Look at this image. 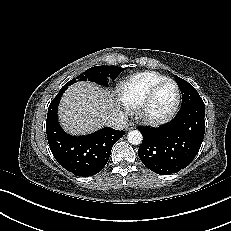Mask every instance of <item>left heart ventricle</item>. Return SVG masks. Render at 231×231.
<instances>
[{
    "label": "left heart ventricle",
    "instance_id": "obj_1",
    "mask_svg": "<svg viewBox=\"0 0 231 231\" xmlns=\"http://www.w3.org/2000/svg\"><path fill=\"white\" fill-rule=\"evenodd\" d=\"M175 99V88L172 84L162 85L154 94L148 105V112L151 115L165 113L173 104Z\"/></svg>",
    "mask_w": 231,
    "mask_h": 231
}]
</instances>
